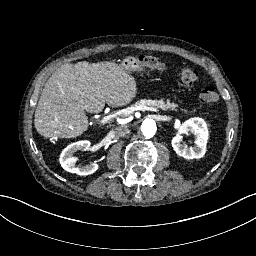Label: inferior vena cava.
Returning <instances> with one entry per match:
<instances>
[{
  "mask_svg": "<svg viewBox=\"0 0 256 256\" xmlns=\"http://www.w3.org/2000/svg\"><path fill=\"white\" fill-rule=\"evenodd\" d=\"M112 133H113L115 138L124 137L126 134L129 133V128L125 125L124 126H118V127H115L112 130Z\"/></svg>",
  "mask_w": 256,
  "mask_h": 256,
  "instance_id": "inferior-vena-cava-1",
  "label": "inferior vena cava"
}]
</instances>
